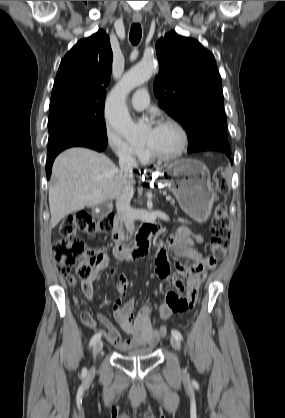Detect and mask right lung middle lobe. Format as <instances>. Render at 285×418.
I'll return each mask as SVG.
<instances>
[{
	"label": "right lung middle lobe",
	"mask_w": 285,
	"mask_h": 418,
	"mask_svg": "<svg viewBox=\"0 0 285 418\" xmlns=\"http://www.w3.org/2000/svg\"><path fill=\"white\" fill-rule=\"evenodd\" d=\"M48 155L77 140L108 144L103 104L57 102L49 106Z\"/></svg>",
	"instance_id": "obj_1"
}]
</instances>
